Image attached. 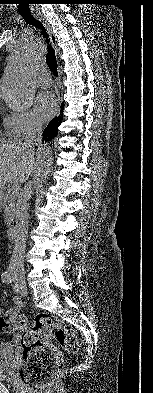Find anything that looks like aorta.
Listing matches in <instances>:
<instances>
[{"label": "aorta", "instance_id": "obj_1", "mask_svg": "<svg viewBox=\"0 0 153 393\" xmlns=\"http://www.w3.org/2000/svg\"><path fill=\"white\" fill-rule=\"evenodd\" d=\"M43 55V47L36 37L21 40L7 60L6 74L0 92L13 111L30 108L35 95L34 73ZM38 177L46 182L53 166V151L50 145H41L36 152Z\"/></svg>", "mask_w": 153, "mask_h": 393}]
</instances>
